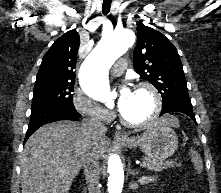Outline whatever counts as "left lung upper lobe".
Instances as JSON below:
<instances>
[{"label": "left lung upper lobe", "mask_w": 221, "mask_h": 193, "mask_svg": "<svg viewBox=\"0 0 221 193\" xmlns=\"http://www.w3.org/2000/svg\"><path fill=\"white\" fill-rule=\"evenodd\" d=\"M138 42L133 52L136 72L160 92L163 106L190 99L180 57L175 46L160 32L137 25Z\"/></svg>", "instance_id": "left-lung-upper-lobe-1"}]
</instances>
